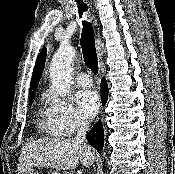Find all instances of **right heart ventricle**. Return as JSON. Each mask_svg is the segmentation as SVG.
I'll return each instance as SVG.
<instances>
[{
    "label": "right heart ventricle",
    "instance_id": "e07e8e85",
    "mask_svg": "<svg viewBox=\"0 0 175 174\" xmlns=\"http://www.w3.org/2000/svg\"><path fill=\"white\" fill-rule=\"evenodd\" d=\"M43 102L45 101L44 99L42 100ZM40 126L41 129L49 136H59L51 127L49 119H48V114H47V109H42L40 111Z\"/></svg>",
    "mask_w": 175,
    "mask_h": 174
}]
</instances>
